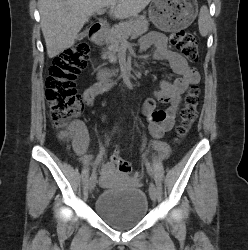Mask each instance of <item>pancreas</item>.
<instances>
[{
    "label": "pancreas",
    "instance_id": "1",
    "mask_svg": "<svg viewBox=\"0 0 248 250\" xmlns=\"http://www.w3.org/2000/svg\"><path fill=\"white\" fill-rule=\"evenodd\" d=\"M149 22L145 16H137L129 21L115 25L107 32L108 47L102 58L116 63L120 44L129 36H140L148 31Z\"/></svg>",
    "mask_w": 248,
    "mask_h": 250
}]
</instances>
